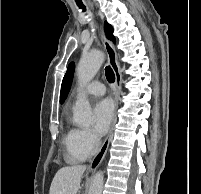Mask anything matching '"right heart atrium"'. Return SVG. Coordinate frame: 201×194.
<instances>
[{"label":"right heart atrium","instance_id":"obj_1","mask_svg":"<svg viewBox=\"0 0 201 194\" xmlns=\"http://www.w3.org/2000/svg\"><path fill=\"white\" fill-rule=\"evenodd\" d=\"M76 147L84 153H93L99 145V138L89 129H77L75 135Z\"/></svg>","mask_w":201,"mask_h":194}]
</instances>
